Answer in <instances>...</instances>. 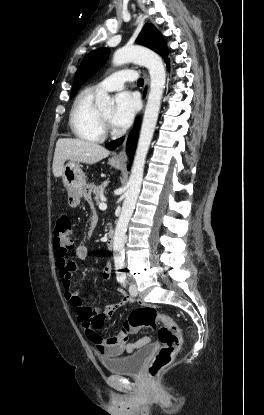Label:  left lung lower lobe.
<instances>
[{"label": "left lung lower lobe", "mask_w": 264, "mask_h": 415, "mask_svg": "<svg viewBox=\"0 0 264 415\" xmlns=\"http://www.w3.org/2000/svg\"><path fill=\"white\" fill-rule=\"evenodd\" d=\"M167 63V67L169 68V61L166 62ZM137 134H138V125H136L133 130L131 131L129 138L127 140V148H126V153L127 155L130 157V160H132L133 158V154H134V150H135V146H136V140H137ZM124 140V137L117 139L115 141H111L109 143L106 144V148L113 150L116 147H118L120 144H122ZM130 168V166H128V169Z\"/></svg>", "instance_id": "obj_1"}]
</instances>
